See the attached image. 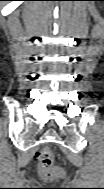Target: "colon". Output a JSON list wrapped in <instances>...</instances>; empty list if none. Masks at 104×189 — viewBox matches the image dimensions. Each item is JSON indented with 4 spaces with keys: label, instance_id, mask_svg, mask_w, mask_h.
Wrapping results in <instances>:
<instances>
[{
    "label": "colon",
    "instance_id": "obj_1",
    "mask_svg": "<svg viewBox=\"0 0 104 189\" xmlns=\"http://www.w3.org/2000/svg\"><path fill=\"white\" fill-rule=\"evenodd\" d=\"M53 160V153L50 149L44 148L39 153L38 172L42 178L53 180L59 177L60 171L53 166Z\"/></svg>",
    "mask_w": 104,
    "mask_h": 189
}]
</instances>
